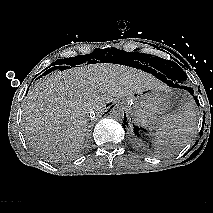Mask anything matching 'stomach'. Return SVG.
Here are the masks:
<instances>
[{"label":"stomach","instance_id":"0dacf381","mask_svg":"<svg viewBox=\"0 0 213 213\" xmlns=\"http://www.w3.org/2000/svg\"><path fill=\"white\" fill-rule=\"evenodd\" d=\"M124 103L135 124L150 130L159 126L160 120L170 109L169 98L164 87L135 93L126 97Z\"/></svg>","mask_w":213,"mask_h":213}]
</instances>
